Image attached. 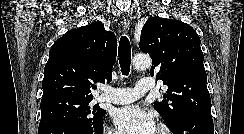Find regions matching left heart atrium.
I'll list each match as a JSON object with an SVG mask.
<instances>
[{"label":"left heart atrium","instance_id":"1","mask_svg":"<svg viewBox=\"0 0 244 134\" xmlns=\"http://www.w3.org/2000/svg\"><path fill=\"white\" fill-rule=\"evenodd\" d=\"M113 121L122 134H154L152 116L138 106H126L113 112Z\"/></svg>","mask_w":244,"mask_h":134}]
</instances>
